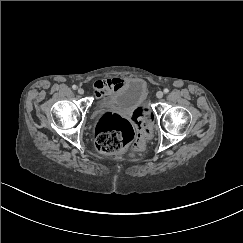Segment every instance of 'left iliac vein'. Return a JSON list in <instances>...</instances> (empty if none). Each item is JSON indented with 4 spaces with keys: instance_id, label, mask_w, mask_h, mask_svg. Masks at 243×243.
<instances>
[{
    "instance_id": "left-iliac-vein-1",
    "label": "left iliac vein",
    "mask_w": 243,
    "mask_h": 243,
    "mask_svg": "<svg viewBox=\"0 0 243 243\" xmlns=\"http://www.w3.org/2000/svg\"><path fill=\"white\" fill-rule=\"evenodd\" d=\"M156 97H157L158 99H161V98L163 97V92H162V91H158V92L156 93Z\"/></svg>"
}]
</instances>
